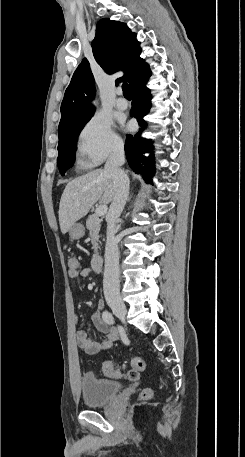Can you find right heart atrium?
Listing matches in <instances>:
<instances>
[{"mask_svg":"<svg viewBox=\"0 0 245 457\" xmlns=\"http://www.w3.org/2000/svg\"><path fill=\"white\" fill-rule=\"evenodd\" d=\"M78 145L91 161L99 163L121 149L122 139L109 119L95 115L82 127Z\"/></svg>","mask_w":245,"mask_h":457,"instance_id":"right-heart-atrium-1","label":"right heart atrium"}]
</instances>
